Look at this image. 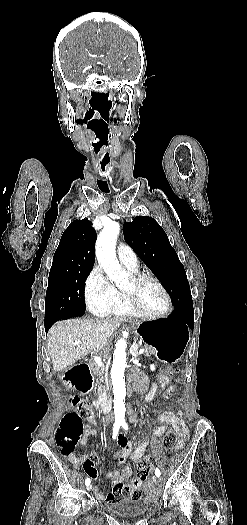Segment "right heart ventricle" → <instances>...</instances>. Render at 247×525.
Segmentation results:
<instances>
[{
    "mask_svg": "<svg viewBox=\"0 0 247 525\" xmlns=\"http://www.w3.org/2000/svg\"><path fill=\"white\" fill-rule=\"evenodd\" d=\"M127 271L130 273L131 278L137 274L138 269L135 265H126ZM105 317H142L139 313L129 305L119 304L114 305L112 309L104 315Z\"/></svg>",
    "mask_w": 247,
    "mask_h": 525,
    "instance_id": "e07e8e85",
    "label": "right heart ventricle"
}]
</instances>
